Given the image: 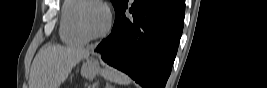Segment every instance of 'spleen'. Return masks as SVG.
Returning <instances> with one entry per match:
<instances>
[{
  "instance_id": "obj_1",
  "label": "spleen",
  "mask_w": 267,
  "mask_h": 88,
  "mask_svg": "<svg viewBox=\"0 0 267 88\" xmlns=\"http://www.w3.org/2000/svg\"><path fill=\"white\" fill-rule=\"evenodd\" d=\"M102 76L107 81L120 84V85H128L131 83V79L124 73L113 69V68H107L102 70Z\"/></svg>"
}]
</instances>
